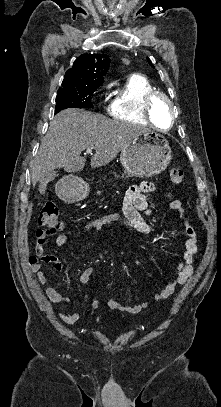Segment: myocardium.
Instances as JSON below:
<instances>
[{"mask_svg": "<svg viewBox=\"0 0 221 407\" xmlns=\"http://www.w3.org/2000/svg\"><path fill=\"white\" fill-rule=\"evenodd\" d=\"M158 100H163L164 102H166V104L168 105L170 112H171L170 124H169L168 128H166V130H161V129L157 128V126L155 125L154 119H153L152 107H153L154 103ZM142 111H143L144 116L147 119V121L149 123H151L154 127H156L159 131L170 130L175 123L173 102L169 98V96H167L163 92L154 91V92L150 93L149 95H147V97L145 98V100L143 102Z\"/></svg>", "mask_w": 221, "mask_h": 407, "instance_id": "f54148a6", "label": "myocardium"}]
</instances>
